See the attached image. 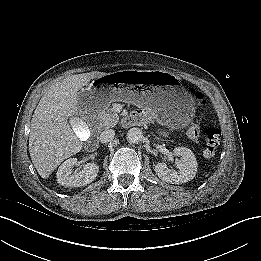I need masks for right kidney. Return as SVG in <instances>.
I'll return each mask as SVG.
<instances>
[{"label":"right kidney","instance_id":"1","mask_svg":"<svg viewBox=\"0 0 261 261\" xmlns=\"http://www.w3.org/2000/svg\"><path fill=\"white\" fill-rule=\"evenodd\" d=\"M81 125L86 126L84 122ZM77 164V158H70L63 162L56 173L58 184L65 187H82L95 180L99 167L95 163H87L79 172L72 173V168Z\"/></svg>","mask_w":261,"mask_h":261}]
</instances>
